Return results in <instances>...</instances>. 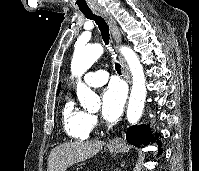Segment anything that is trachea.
<instances>
[{"label":"trachea","mask_w":199,"mask_h":171,"mask_svg":"<svg viewBox=\"0 0 199 171\" xmlns=\"http://www.w3.org/2000/svg\"><path fill=\"white\" fill-rule=\"evenodd\" d=\"M84 14V16L88 19L94 20L95 23L98 25L99 30L101 32L103 41L106 45H109V28L108 25L105 21V19L100 16V15H96L93 12H82ZM115 69L117 71L118 74H121V66L118 63H115Z\"/></svg>","instance_id":"3493384b"}]
</instances>
